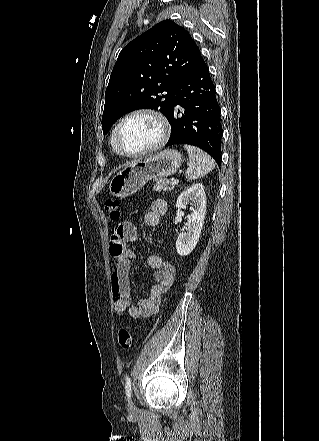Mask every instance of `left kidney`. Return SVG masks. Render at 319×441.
<instances>
[{"instance_id":"1","label":"left kidney","mask_w":319,"mask_h":441,"mask_svg":"<svg viewBox=\"0 0 319 441\" xmlns=\"http://www.w3.org/2000/svg\"><path fill=\"white\" fill-rule=\"evenodd\" d=\"M189 202L193 207H190L188 228L185 232L179 234L176 241V250L180 256L189 255L200 238L206 212V195L201 183H196L182 192L177 199L176 208L186 209Z\"/></svg>"}]
</instances>
